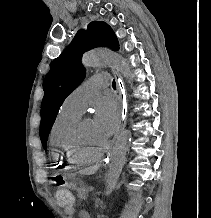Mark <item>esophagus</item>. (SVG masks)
<instances>
[{
  "label": "esophagus",
  "instance_id": "34e87169",
  "mask_svg": "<svg viewBox=\"0 0 211 218\" xmlns=\"http://www.w3.org/2000/svg\"><path fill=\"white\" fill-rule=\"evenodd\" d=\"M121 74L118 72L116 74L115 72V76H116V81H117V90H118V94L120 97L121 102L123 103H129L130 99H129V93H127V89H124V81H123V76H120ZM130 108L129 104H121V115L122 117H128L129 113L128 110ZM125 123H127V118H120V123L118 124L119 128H125ZM113 141H118L119 137L118 136H113L112 137ZM114 159V153H113V148H106V153H105V159L101 160V167H102V171L103 172H108L109 171V167L110 164L112 163V160Z\"/></svg>",
  "mask_w": 211,
  "mask_h": 218
}]
</instances>
